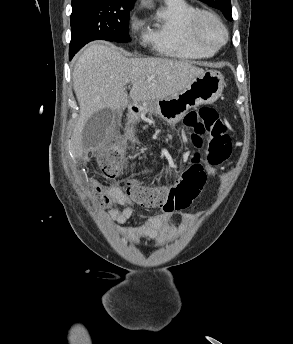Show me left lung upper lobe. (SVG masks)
Returning <instances> with one entry per match:
<instances>
[{"instance_id": "obj_1", "label": "left lung upper lobe", "mask_w": 293, "mask_h": 344, "mask_svg": "<svg viewBox=\"0 0 293 344\" xmlns=\"http://www.w3.org/2000/svg\"><path fill=\"white\" fill-rule=\"evenodd\" d=\"M200 1L208 4L211 7L221 10L228 20H232V15H231L232 9H231L230 0H200Z\"/></svg>"}]
</instances>
